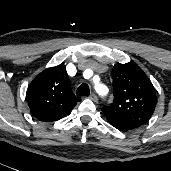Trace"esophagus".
<instances>
[{
  "label": "esophagus",
  "instance_id": "obj_1",
  "mask_svg": "<svg viewBox=\"0 0 171 171\" xmlns=\"http://www.w3.org/2000/svg\"><path fill=\"white\" fill-rule=\"evenodd\" d=\"M89 98L91 100H93L94 102H98V98H97L96 94H94V93L90 94Z\"/></svg>",
  "mask_w": 171,
  "mask_h": 171
}]
</instances>
